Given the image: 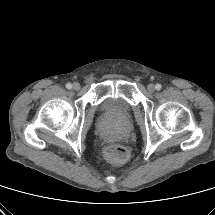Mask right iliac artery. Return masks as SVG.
Returning a JSON list of instances; mask_svg holds the SVG:
<instances>
[{
  "label": "right iliac artery",
  "mask_w": 215,
  "mask_h": 215,
  "mask_svg": "<svg viewBox=\"0 0 215 215\" xmlns=\"http://www.w3.org/2000/svg\"><path fill=\"white\" fill-rule=\"evenodd\" d=\"M66 88H67V89H71V88H72V84H71V83H67V84H66Z\"/></svg>",
  "instance_id": "right-iliac-artery-1"
}]
</instances>
